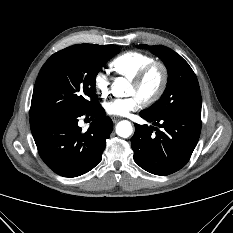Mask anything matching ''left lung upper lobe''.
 <instances>
[{"label": "left lung upper lobe", "instance_id": "obj_1", "mask_svg": "<svg viewBox=\"0 0 233 233\" xmlns=\"http://www.w3.org/2000/svg\"><path fill=\"white\" fill-rule=\"evenodd\" d=\"M138 47L144 48L147 45ZM150 51L165 63L168 83L160 100L142 112L151 118H160L175 112L201 113L199 83L189 64L168 47L155 45L150 47Z\"/></svg>", "mask_w": 233, "mask_h": 233}]
</instances>
